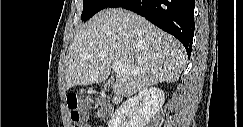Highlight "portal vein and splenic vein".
Returning <instances> with one entry per match:
<instances>
[{
  "instance_id": "1",
  "label": "portal vein and splenic vein",
  "mask_w": 243,
  "mask_h": 127,
  "mask_svg": "<svg viewBox=\"0 0 243 127\" xmlns=\"http://www.w3.org/2000/svg\"><path fill=\"white\" fill-rule=\"evenodd\" d=\"M112 69L117 73L120 72L130 73V70H126L121 63H117V62L112 64Z\"/></svg>"
}]
</instances>
